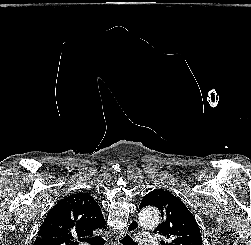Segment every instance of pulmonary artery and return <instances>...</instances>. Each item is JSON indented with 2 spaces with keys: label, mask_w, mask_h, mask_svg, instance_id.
Returning <instances> with one entry per match:
<instances>
[{
  "label": "pulmonary artery",
  "mask_w": 251,
  "mask_h": 245,
  "mask_svg": "<svg viewBox=\"0 0 251 245\" xmlns=\"http://www.w3.org/2000/svg\"><path fill=\"white\" fill-rule=\"evenodd\" d=\"M140 245H158L157 238L155 236L148 235L146 233H138Z\"/></svg>",
  "instance_id": "1"
}]
</instances>
